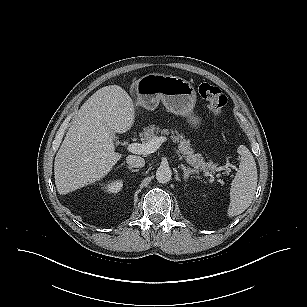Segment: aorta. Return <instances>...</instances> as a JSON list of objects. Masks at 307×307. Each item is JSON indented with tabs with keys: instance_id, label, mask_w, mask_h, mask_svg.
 <instances>
[{
	"instance_id": "1",
	"label": "aorta",
	"mask_w": 307,
	"mask_h": 307,
	"mask_svg": "<svg viewBox=\"0 0 307 307\" xmlns=\"http://www.w3.org/2000/svg\"><path fill=\"white\" fill-rule=\"evenodd\" d=\"M172 171L169 166H160L156 171V179L159 183H167L171 180Z\"/></svg>"
}]
</instances>
